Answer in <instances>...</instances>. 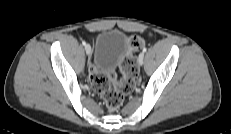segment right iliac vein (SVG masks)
<instances>
[{"mask_svg": "<svg viewBox=\"0 0 231 134\" xmlns=\"http://www.w3.org/2000/svg\"><path fill=\"white\" fill-rule=\"evenodd\" d=\"M85 51L87 55L91 54V46L89 44L85 45Z\"/></svg>", "mask_w": 231, "mask_h": 134, "instance_id": "right-iliac-vein-1", "label": "right iliac vein"}]
</instances>
